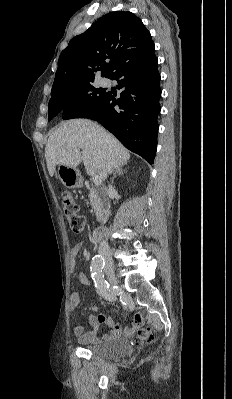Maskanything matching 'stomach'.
I'll return each mask as SVG.
<instances>
[{"label":"stomach","mask_w":232,"mask_h":399,"mask_svg":"<svg viewBox=\"0 0 232 399\" xmlns=\"http://www.w3.org/2000/svg\"><path fill=\"white\" fill-rule=\"evenodd\" d=\"M57 174L65 188H80L82 178L77 168H68V166L59 164Z\"/></svg>","instance_id":"0dacf381"}]
</instances>
